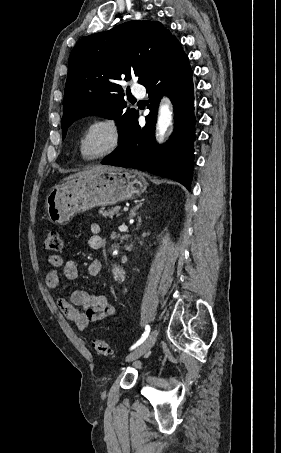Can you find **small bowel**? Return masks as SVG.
<instances>
[{
  "label": "small bowel",
  "mask_w": 281,
  "mask_h": 453,
  "mask_svg": "<svg viewBox=\"0 0 281 453\" xmlns=\"http://www.w3.org/2000/svg\"><path fill=\"white\" fill-rule=\"evenodd\" d=\"M101 225L92 223L89 227L93 235L88 241V248L96 252L102 249V239L97 237L101 233ZM48 263L52 269L45 274V281L50 289L60 288L59 268L63 269L64 277L74 280L79 277V269L75 260H63L60 255H50ZM103 266L101 261L93 260L87 265L86 272L89 276L97 277L101 274ZM59 310L75 324L78 329H85L94 321L115 315V307L112 306L108 298L104 295H93L85 290L72 289L68 292L67 298L56 300Z\"/></svg>",
  "instance_id": "c3829d8e"
}]
</instances>
